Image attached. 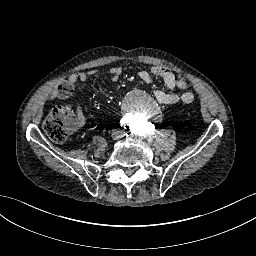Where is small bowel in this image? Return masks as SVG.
I'll return each instance as SVG.
<instances>
[{"instance_id":"small-bowel-1","label":"small bowel","mask_w":256,"mask_h":256,"mask_svg":"<svg viewBox=\"0 0 256 256\" xmlns=\"http://www.w3.org/2000/svg\"><path fill=\"white\" fill-rule=\"evenodd\" d=\"M122 72L123 70L119 66L111 67L110 69H108V73L111 76V79L113 82L118 81V79L122 75ZM97 75H98L97 70H90L87 72H78L76 74H73L70 79L74 82H77V81L86 82L90 77L97 76ZM153 76L161 78L167 89L173 90L176 88V85H175V82L177 80L176 75L169 68L164 66H154L152 67L150 72L141 71L139 73L140 79L147 84L152 83ZM56 96H57V93L53 92L52 98H55ZM154 96L159 103L165 104V105L177 103L179 100H181L185 104H190L194 100V94L191 91H184L179 96L176 93L167 92L164 90H156L154 92ZM78 110L80 112V107H78Z\"/></svg>"}]
</instances>
